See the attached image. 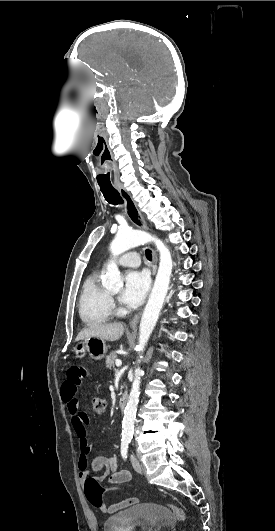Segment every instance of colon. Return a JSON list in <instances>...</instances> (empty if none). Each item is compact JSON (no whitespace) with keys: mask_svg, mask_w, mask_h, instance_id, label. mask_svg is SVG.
I'll list each match as a JSON object with an SVG mask.
<instances>
[{"mask_svg":"<svg viewBox=\"0 0 275 531\" xmlns=\"http://www.w3.org/2000/svg\"><path fill=\"white\" fill-rule=\"evenodd\" d=\"M68 372V370H67ZM92 406L94 413L103 414L106 410V402L104 399L99 397H94L92 399ZM88 483L84 486L83 494L87 497L88 501L92 503V506L96 510H103V503L101 501L102 493H106L113 488V485H109L106 482H94L95 478L93 476H88L86 478ZM94 482V483H93ZM114 489H118V486H114ZM173 516L176 519L184 521L186 519L185 511L178 506H169Z\"/></svg>","mask_w":275,"mask_h":531,"instance_id":"1","label":"colon"}]
</instances>
